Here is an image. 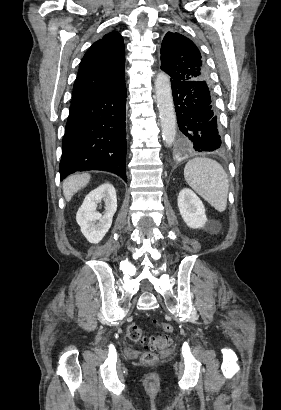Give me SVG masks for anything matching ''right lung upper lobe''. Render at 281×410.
Segmentation results:
<instances>
[{
	"mask_svg": "<svg viewBox=\"0 0 281 410\" xmlns=\"http://www.w3.org/2000/svg\"><path fill=\"white\" fill-rule=\"evenodd\" d=\"M125 83V51L121 35L110 32L83 57L73 87L72 104L114 90Z\"/></svg>",
	"mask_w": 281,
	"mask_h": 410,
	"instance_id": "1",
	"label": "right lung upper lobe"
}]
</instances>
